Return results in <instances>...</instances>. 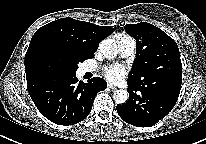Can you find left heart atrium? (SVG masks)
<instances>
[{
    "mask_svg": "<svg viewBox=\"0 0 206 144\" xmlns=\"http://www.w3.org/2000/svg\"><path fill=\"white\" fill-rule=\"evenodd\" d=\"M126 70L123 66L113 65L106 69V77L111 82H118L124 78Z\"/></svg>",
    "mask_w": 206,
    "mask_h": 144,
    "instance_id": "1",
    "label": "left heart atrium"
}]
</instances>
